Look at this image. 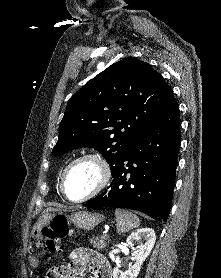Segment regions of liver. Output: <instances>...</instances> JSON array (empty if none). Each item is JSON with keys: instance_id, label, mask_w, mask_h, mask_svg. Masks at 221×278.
<instances>
[{"instance_id": "1", "label": "liver", "mask_w": 221, "mask_h": 278, "mask_svg": "<svg viewBox=\"0 0 221 278\" xmlns=\"http://www.w3.org/2000/svg\"><path fill=\"white\" fill-rule=\"evenodd\" d=\"M51 211V208L47 209L46 212ZM45 212V211H44Z\"/></svg>"}]
</instances>
